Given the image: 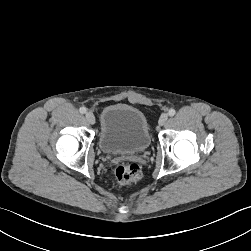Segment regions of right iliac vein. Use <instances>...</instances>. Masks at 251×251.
Returning <instances> with one entry per match:
<instances>
[{"instance_id":"63e3f726","label":"right iliac vein","mask_w":251,"mask_h":251,"mask_svg":"<svg viewBox=\"0 0 251 251\" xmlns=\"http://www.w3.org/2000/svg\"><path fill=\"white\" fill-rule=\"evenodd\" d=\"M85 118H86L88 123H90V124L95 123V116H94V114L92 112H90V111L86 112Z\"/></svg>"}]
</instances>
